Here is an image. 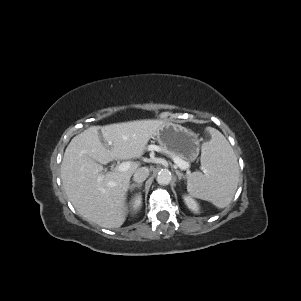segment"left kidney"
Instances as JSON below:
<instances>
[{
  "mask_svg": "<svg viewBox=\"0 0 301 301\" xmlns=\"http://www.w3.org/2000/svg\"><path fill=\"white\" fill-rule=\"evenodd\" d=\"M184 201L190 210L194 212H197L199 210L197 202L190 196H184Z\"/></svg>",
  "mask_w": 301,
  "mask_h": 301,
  "instance_id": "5707ae66",
  "label": "left kidney"
}]
</instances>
